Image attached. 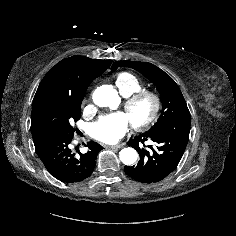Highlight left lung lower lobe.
<instances>
[{
  "instance_id": "obj_1",
  "label": "left lung lower lobe",
  "mask_w": 236,
  "mask_h": 236,
  "mask_svg": "<svg viewBox=\"0 0 236 236\" xmlns=\"http://www.w3.org/2000/svg\"><path fill=\"white\" fill-rule=\"evenodd\" d=\"M191 118L176 119L156 131L143 133L128 142L140 154L134 166H125V173L142 183H156L171 174L180 162L186 149ZM151 140L152 145L140 148L139 142Z\"/></svg>"
}]
</instances>
